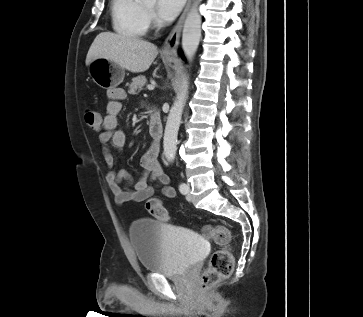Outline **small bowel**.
Wrapping results in <instances>:
<instances>
[{"label":"small bowel","instance_id":"1","mask_svg":"<svg viewBox=\"0 0 363 317\" xmlns=\"http://www.w3.org/2000/svg\"><path fill=\"white\" fill-rule=\"evenodd\" d=\"M126 93L121 88H114L109 92V101L106 106V115L102 118V131L99 135L100 144L105 151V162L110 168L106 181L117 204L126 202H140L150 199L154 195V189L150 181H157L160 192L167 198L176 195L174 188L169 185V177L163 170L159 160V148L152 145L140 158L139 164L142 169L140 177L134 182L132 176L124 170H115L116 158L110 148L121 150L126 142V133L118 128V117L122 109V100ZM122 182L132 185V190L122 187Z\"/></svg>","mask_w":363,"mask_h":317}]
</instances>
